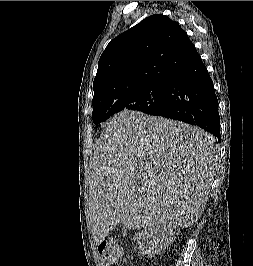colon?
I'll use <instances>...</instances> for the list:
<instances>
[{
  "label": "colon",
  "mask_w": 253,
  "mask_h": 266,
  "mask_svg": "<svg viewBox=\"0 0 253 266\" xmlns=\"http://www.w3.org/2000/svg\"><path fill=\"white\" fill-rule=\"evenodd\" d=\"M102 266H116L123 261V251L114 240H104L97 248Z\"/></svg>",
  "instance_id": "colon-1"
}]
</instances>
